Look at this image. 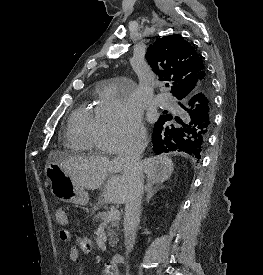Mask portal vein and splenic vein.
I'll use <instances>...</instances> for the list:
<instances>
[{
  "mask_svg": "<svg viewBox=\"0 0 263 275\" xmlns=\"http://www.w3.org/2000/svg\"><path fill=\"white\" fill-rule=\"evenodd\" d=\"M119 217H120L119 210L114 209V210H111L108 212V214L106 215V217L104 219V222H111V221L119 219Z\"/></svg>",
  "mask_w": 263,
  "mask_h": 275,
  "instance_id": "obj_1",
  "label": "portal vein and splenic vein"
}]
</instances>
